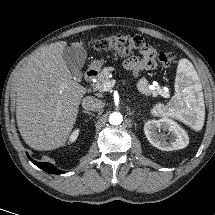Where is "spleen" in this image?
Here are the masks:
<instances>
[{"label":"spleen","mask_w":215,"mask_h":215,"mask_svg":"<svg viewBox=\"0 0 215 215\" xmlns=\"http://www.w3.org/2000/svg\"><path fill=\"white\" fill-rule=\"evenodd\" d=\"M197 73L187 59H181L178 64L175 80L176 94L167 106L156 105L155 114L173 117L195 130L203 127L205 117L204 99L201 92L196 90Z\"/></svg>","instance_id":"obj_1"}]
</instances>
